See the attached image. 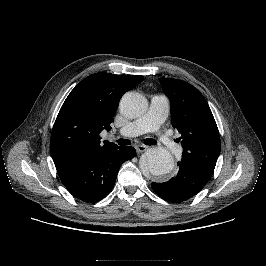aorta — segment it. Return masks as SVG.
Masks as SVG:
<instances>
[{
  "label": "aorta",
  "mask_w": 266,
  "mask_h": 266,
  "mask_svg": "<svg viewBox=\"0 0 266 266\" xmlns=\"http://www.w3.org/2000/svg\"><path fill=\"white\" fill-rule=\"evenodd\" d=\"M120 111L128 118L141 116L147 109L145 97L136 92H127L120 101ZM142 171L149 172L153 176H164L174 168V159L170 152L162 147H154L147 150L140 161Z\"/></svg>",
  "instance_id": "aorta-1"
}]
</instances>
